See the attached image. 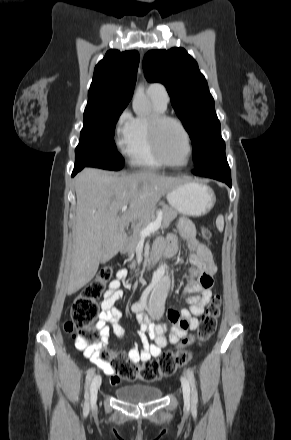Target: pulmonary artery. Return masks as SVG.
Instances as JSON below:
<instances>
[{"instance_id":"pulmonary-artery-1","label":"pulmonary artery","mask_w":291,"mask_h":440,"mask_svg":"<svg viewBox=\"0 0 291 440\" xmlns=\"http://www.w3.org/2000/svg\"><path fill=\"white\" fill-rule=\"evenodd\" d=\"M147 94L158 101L161 105L167 106L169 102V95L162 83H151L147 88Z\"/></svg>"}]
</instances>
